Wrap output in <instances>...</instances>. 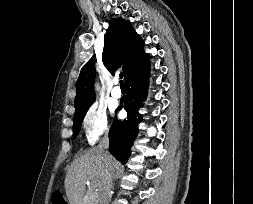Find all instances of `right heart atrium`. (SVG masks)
Listing matches in <instances>:
<instances>
[{"instance_id":"right-heart-atrium-1","label":"right heart atrium","mask_w":253,"mask_h":204,"mask_svg":"<svg viewBox=\"0 0 253 204\" xmlns=\"http://www.w3.org/2000/svg\"><path fill=\"white\" fill-rule=\"evenodd\" d=\"M82 129L86 142L94 145L109 132L107 111L99 105H92L82 120Z\"/></svg>"}]
</instances>
